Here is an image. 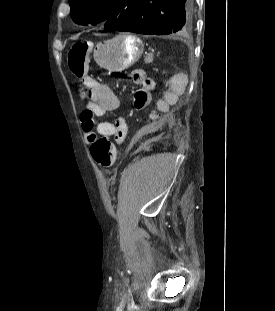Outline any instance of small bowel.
<instances>
[{
    "mask_svg": "<svg viewBox=\"0 0 275 311\" xmlns=\"http://www.w3.org/2000/svg\"><path fill=\"white\" fill-rule=\"evenodd\" d=\"M131 76L138 87V91L134 92L133 104L135 108H148L147 122H158V116H162L163 112H170L173 103H178V98H185L187 87L191 86V81L185 80V73H169V80L160 81L161 88L158 92L148 69H131ZM85 84L90 89L91 100L87 106L82 107L80 120L87 140L92 142L97 132L114 137L118 143L123 142L129 125L122 116L112 122L95 123L94 120V116L101 117L117 110L120 105L118 97L108 85L92 78H86Z\"/></svg>",
    "mask_w": 275,
    "mask_h": 311,
    "instance_id": "1",
    "label": "small bowel"
}]
</instances>
